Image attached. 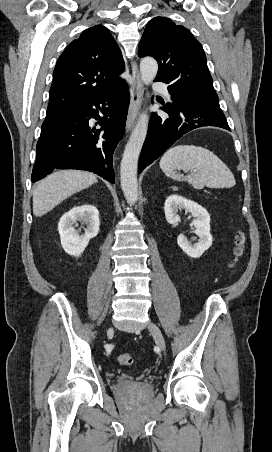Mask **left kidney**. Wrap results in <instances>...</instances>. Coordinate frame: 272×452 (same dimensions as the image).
<instances>
[{"label": "left kidney", "instance_id": "left-kidney-1", "mask_svg": "<svg viewBox=\"0 0 272 452\" xmlns=\"http://www.w3.org/2000/svg\"><path fill=\"white\" fill-rule=\"evenodd\" d=\"M181 209H185L195 217L193 225L196 228L195 233L199 239L195 244H192L186 236L180 234L177 238V243L189 257L199 258L212 245L210 215L208 211L198 203L178 194H172L167 197L164 204L165 217L169 224H178L180 221L178 211Z\"/></svg>", "mask_w": 272, "mask_h": 452}]
</instances>
